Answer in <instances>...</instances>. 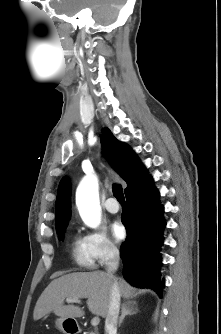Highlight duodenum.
Wrapping results in <instances>:
<instances>
[{
    "label": "duodenum",
    "mask_w": 221,
    "mask_h": 334,
    "mask_svg": "<svg viewBox=\"0 0 221 334\" xmlns=\"http://www.w3.org/2000/svg\"><path fill=\"white\" fill-rule=\"evenodd\" d=\"M67 332L69 333H72V334H78L79 331L78 330H66Z\"/></svg>",
    "instance_id": "duodenum-1"
}]
</instances>
